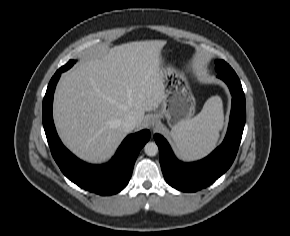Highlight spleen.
<instances>
[{"instance_id":"3e777b00","label":"spleen","mask_w":290,"mask_h":236,"mask_svg":"<svg viewBox=\"0 0 290 236\" xmlns=\"http://www.w3.org/2000/svg\"><path fill=\"white\" fill-rule=\"evenodd\" d=\"M223 124L222 100L213 96L205 102L198 115L172 128V138L180 155L185 159L206 155L215 147Z\"/></svg>"}]
</instances>
